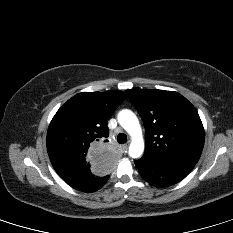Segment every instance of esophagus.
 Here are the masks:
<instances>
[{
  "label": "esophagus",
  "mask_w": 233,
  "mask_h": 233,
  "mask_svg": "<svg viewBox=\"0 0 233 233\" xmlns=\"http://www.w3.org/2000/svg\"><path fill=\"white\" fill-rule=\"evenodd\" d=\"M128 147H129L128 144H123V145L121 146L122 151H123V152H126V151L128 150Z\"/></svg>",
  "instance_id": "1"
}]
</instances>
